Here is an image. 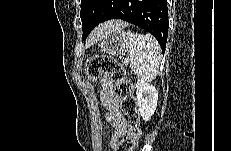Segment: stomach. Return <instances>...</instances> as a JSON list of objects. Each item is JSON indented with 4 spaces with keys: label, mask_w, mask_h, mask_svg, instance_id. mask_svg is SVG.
<instances>
[{
    "label": "stomach",
    "mask_w": 231,
    "mask_h": 151,
    "mask_svg": "<svg viewBox=\"0 0 231 151\" xmlns=\"http://www.w3.org/2000/svg\"><path fill=\"white\" fill-rule=\"evenodd\" d=\"M126 36L127 33L122 30L109 32L100 44L101 52L113 56L123 55L126 52Z\"/></svg>",
    "instance_id": "stomach-1"
}]
</instances>
